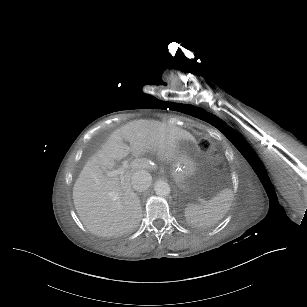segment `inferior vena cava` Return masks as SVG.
I'll return each mask as SVG.
<instances>
[{
  "instance_id": "602c4592",
  "label": "inferior vena cava",
  "mask_w": 307,
  "mask_h": 307,
  "mask_svg": "<svg viewBox=\"0 0 307 307\" xmlns=\"http://www.w3.org/2000/svg\"><path fill=\"white\" fill-rule=\"evenodd\" d=\"M152 183L150 173L146 171L135 172L131 177L132 188L137 192H143L149 189Z\"/></svg>"
}]
</instances>
